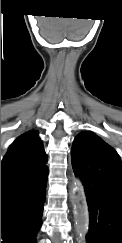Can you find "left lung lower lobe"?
<instances>
[{
  "instance_id": "obj_1",
  "label": "left lung lower lobe",
  "mask_w": 122,
  "mask_h": 243,
  "mask_svg": "<svg viewBox=\"0 0 122 243\" xmlns=\"http://www.w3.org/2000/svg\"><path fill=\"white\" fill-rule=\"evenodd\" d=\"M88 211L86 243H122V163L117 152L79 158L73 167Z\"/></svg>"
}]
</instances>
